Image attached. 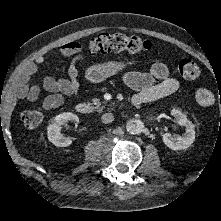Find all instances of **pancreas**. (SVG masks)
I'll list each match as a JSON object with an SVG mask.
<instances>
[{
    "label": "pancreas",
    "instance_id": "obj_1",
    "mask_svg": "<svg viewBox=\"0 0 221 221\" xmlns=\"http://www.w3.org/2000/svg\"><path fill=\"white\" fill-rule=\"evenodd\" d=\"M92 105H93L92 109L94 111L102 112V110L104 109V106L102 105V102L97 98L92 100Z\"/></svg>",
    "mask_w": 221,
    "mask_h": 221
}]
</instances>
